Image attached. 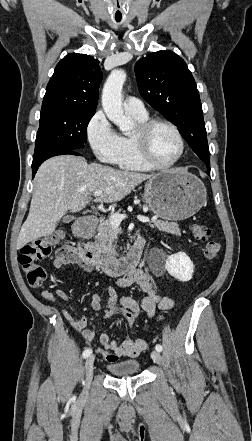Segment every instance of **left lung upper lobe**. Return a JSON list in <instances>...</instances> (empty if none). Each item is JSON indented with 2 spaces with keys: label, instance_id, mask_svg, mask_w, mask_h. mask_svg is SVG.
Returning <instances> with one entry per match:
<instances>
[{
  "label": "left lung upper lobe",
  "instance_id": "left-lung-upper-lobe-1",
  "mask_svg": "<svg viewBox=\"0 0 252 441\" xmlns=\"http://www.w3.org/2000/svg\"><path fill=\"white\" fill-rule=\"evenodd\" d=\"M135 73L141 96L179 128L192 150L210 166L199 91L184 60L173 51H158L139 59Z\"/></svg>",
  "mask_w": 252,
  "mask_h": 441
}]
</instances>
